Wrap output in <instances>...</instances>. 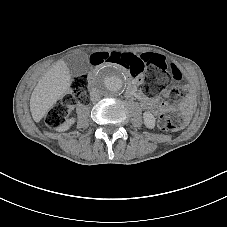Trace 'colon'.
I'll return each mask as SVG.
<instances>
[{
  "mask_svg": "<svg viewBox=\"0 0 227 227\" xmlns=\"http://www.w3.org/2000/svg\"><path fill=\"white\" fill-rule=\"evenodd\" d=\"M93 65L103 63H114L132 76L143 77L144 92L156 96L165 93L168 88V73L177 82V86L168 93L175 98L183 92L179 86L181 80L180 71L172 64L167 63L165 58L159 54L145 53L136 55L121 52H100L91 58ZM88 101L87 79L85 76L75 77L70 86V92L58 101L47 113L45 122L50 128H57L63 124L71 109L75 105H83ZM184 118L180 114L163 113L158 121L159 127L165 131H176L183 125Z\"/></svg>",
  "mask_w": 227,
  "mask_h": 227,
  "instance_id": "1",
  "label": "colon"
}]
</instances>
